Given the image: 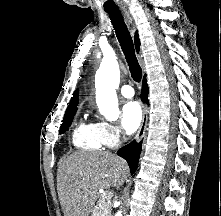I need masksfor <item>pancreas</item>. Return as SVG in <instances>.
<instances>
[{
  "instance_id": "cf45deb5",
  "label": "pancreas",
  "mask_w": 221,
  "mask_h": 216,
  "mask_svg": "<svg viewBox=\"0 0 221 216\" xmlns=\"http://www.w3.org/2000/svg\"><path fill=\"white\" fill-rule=\"evenodd\" d=\"M92 216H111L110 203L103 196L98 200L94 207Z\"/></svg>"
}]
</instances>
